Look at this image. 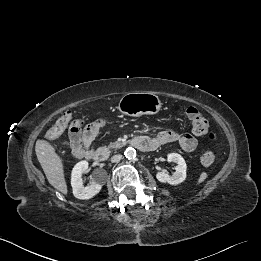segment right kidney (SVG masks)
I'll return each mask as SVG.
<instances>
[{
    "label": "right kidney",
    "instance_id": "obj_1",
    "mask_svg": "<svg viewBox=\"0 0 261 261\" xmlns=\"http://www.w3.org/2000/svg\"><path fill=\"white\" fill-rule=\"evenodd\" d=\"M88 169L87 161L78 162L71 174V186L73 194L76 198L82 200H88L98 194L104 184L105 174L103 172L100 175H94L92 183L88 186H84L82 174Z\"/></svg>",
    "mask_w": 261,
    "mask_h": 261
}]
</instances>
